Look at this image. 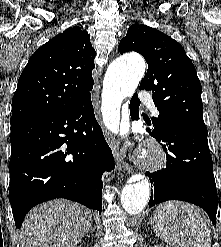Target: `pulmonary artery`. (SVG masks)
Listing matches in <instances>:
<instances>
[{
    "label": "pulmonary artery",
    "mask_w": 221,
    "mask_h": 247,
    "mask_svg": "<svg viewBox=\"0 0 221 247\" xmlns=\"http://www.w3.org/2000/svg\"><path fill=\"white\" fill-rule=\"evenodd\" d=\"M139 97L140 99L144 102V103H147L148 105H150L151 107L154 108V104L152 102V98H151V95L145 91H141L139 93ZM153 112L155 114H158V110H156L155 108L153 109Z\"/></svg>",
    "instance_id": "pulmonary-artery-1"
}]
</instances>
